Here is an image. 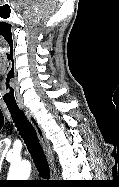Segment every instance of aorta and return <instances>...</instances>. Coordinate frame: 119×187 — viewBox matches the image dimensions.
Here are the masks:
<instances>
[{"instance_id": "aorta-1", "label": "aorta", "mask_w": 119, "mask_h": 187, "mask_svg": "<svg viewBox=\"0 0 119 187\" xmlns=\"http://www.w3.org/2000/svg\"><path fill=\"white\" fill-rule=\"evenodd\" d=\"M31 172V164L28 161L12 163L9 169V180H27Z\"/></svg>"}]
</instances>
